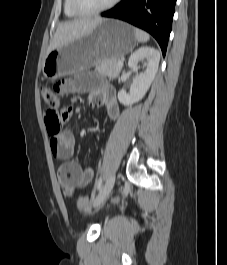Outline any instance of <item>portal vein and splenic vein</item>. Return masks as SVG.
<instances>
[{
	"label": "portal vein and splenic vein",
	"mask_w": 227,
	"mask_h": 265,
	"mask_svg": "<svg viewBox=\"0 0 227 265\" xmlns=\"http://www.w3.org/2000/svg\"><path fill=\"white\" fill-rule=\"evenodd\" d=\"M118 66L122 67L123 66V62L122 61H118Z\"/></svg>",
	"instance_id": "1"
}]
</instances>
